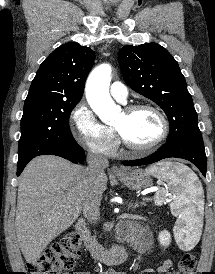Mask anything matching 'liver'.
Here are the masks:
<instances>
[{"mask_svg": "<svg viewBox=\"0 0 215 274\" xmlns=\"http://www.w3.org/2000/svg\"><path fill=\"white\" fill-rule=\"evenodd\" d=\"M87 169L62 158H34L20 176L15 231L25 260L35 264L43 250L79 217L88 189ZM107 176L101 178L102 193Z\"/></svg>", "mask_w": 215, "mask_h": 274, "instance_id": "1", "label": "liver"}]
</instances>
